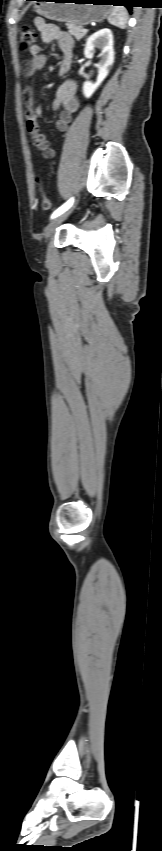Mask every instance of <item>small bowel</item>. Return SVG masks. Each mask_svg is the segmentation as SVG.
<instances>
[{
  "instance_id": "small-bowel-1",
  "label": "small bowel",
  "mask_w": 162,
  "mask_h": 851,
  "mask_svg": "<svg viewBox=\"0 0 162 851\" xmlns=\"http://www.w3.org/2000/svg\"><path fill=\"white\" fill-rule=\"evenodd\" d=\"M35 25L40 31L42 40L45 43L56 42L63 52L60 73L65 74L68 71L71 61L73 45L71 36L61 30L57 25L47 23L43 18L36 19ZM29 52L32 57L23 64V72L26 77H31L36 71L42 69L46 61L39 45L32 46ZM23 100L25 105L26 128L31 135L34 146L42 153L44 158H54L56 150L40 131L39 120L43 112L41 107L35 106L34 93L31 87L28 86L25 88ZM78 108L79 101L77 99L76 83L72 80L63 82L57 89L56 97L52 103V110L59 111V117L56 121L58 131L65 132L68 129L72 121V116Z\"/></svg>"
}]
</instances>
